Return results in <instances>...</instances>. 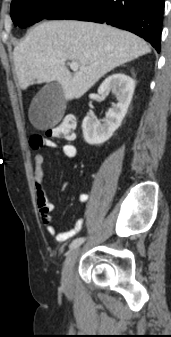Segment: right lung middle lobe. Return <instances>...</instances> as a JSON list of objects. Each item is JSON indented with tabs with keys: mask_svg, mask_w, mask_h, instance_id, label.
Segmentation results:
<instances>
[{
	"mask_svg": "<svg viewBox=\"0 0 171 337\" xmlns=\"http://www.w3.org/2000/svg\"><path fill=\"white\" fill-rule=\"evenodd\" d=\"M70 0H12L10 15L15 26L28 27L47 18Z\"/></svg>",
	"mask_w": 171,
	"mask_h": 337,
	"instance_id": "1",
	"label": "right lung middle lobe"
}]
</instances>
